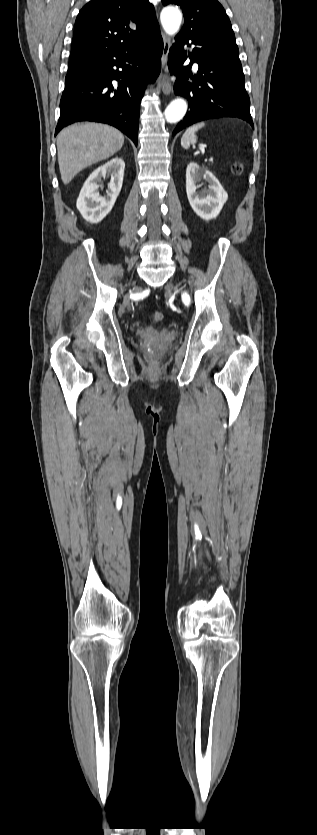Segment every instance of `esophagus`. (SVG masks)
Instances as JSON below:
<instances>
[{
	"label": "esophagus",
	"mask_w": 317,
	"mask_h": 835,
	"mask_svg": "<svg viewBox=\"0 0 317 835\" xmlns=\"http://www.w3.org/2000/svg\"><path fill=\"white\" fill-rule=\"evenodd\" d=\"M170 39L166 34H163V49L161 56V81L160 86L164 94L169 95L173 90V85L168 79L167 56L170 50Z\"/></svg>",
	"instance_id": "esophagus-1"
}]
</instances>
